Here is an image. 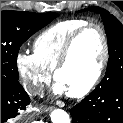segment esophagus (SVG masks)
I'll list each match as a JSON object with an SVG mask.
<instances>
[{
  "instance_id": "obj_1",
  "label": "esophagus",
  "mask_w": 123,
  "mask_h": 123,
  "mask_svg": "<svg viewBox=\"0 0 123 123\" xmlns=\"http://www.w3.org/2000/svg\"><path fill=\"white\" fill-rule=\"evenodd\" d=\"M41 110H42L43 112H50V111L53 110V107H52V106H42V107H41Z\"/></svg>"
}]
</instances>
